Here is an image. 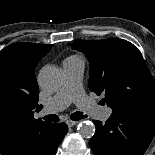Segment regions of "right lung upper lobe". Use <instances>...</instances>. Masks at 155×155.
<instances>
[{"label":"right lung upper lobe","mask_w":155,"mask_h":155,"mask_svg":"<svg viewBox=\"0 0 155 155\" xmlns=\"http://www.w3.org/2000/svg\"><path fill=\"white\" fill-rule=\"evenodd\" d=\"M52 45L14 43L0 51V153L39 155L53 124L34 118L41 110L35 67Z\"/></svg>","instance_id":"right-lung-upper-lobe-1"}]
</instances>
